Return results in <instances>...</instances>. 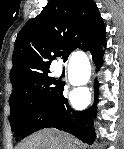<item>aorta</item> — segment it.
<instances>
[{
	"label": "aorta",
	"instance_id": "obj_1",
	"mask_svg": "<svg viewBox=\"0 0 124 149\" xmlns=\"http://www.w3.org/2000/svg\"><path fill=\"white\" fill-rule=\"evenodd\" d=\"M68 75L72 83H75L72 81L73 76H83L86 80L89 76L88 60L83 56L80 58L79 61L77 59H72L70 62V70Z\"/></svg>",
	"mask_w": 124,
	"mask_h": 149
}]
</instances>
